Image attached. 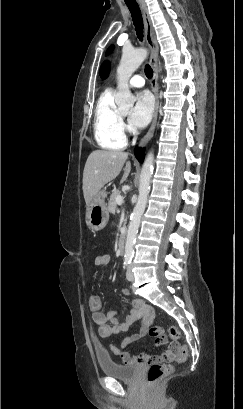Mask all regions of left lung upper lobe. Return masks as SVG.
<instances>
[{"label":"left lung upper lobe","instance_id":"left-lung-upper-lobe-1","mask_svg":"<svg viewBox=\"0 0 243 409\" xmlns=\"http://www.w3.org/2000/svg\"><path fill=\"white\" fill-rule=\"evenodd\" d=\"M113 45L112 46H110L109 48H108V50H107V54H109V53H111L112 52V50H113Z\"/></svg>","mask_w":243,"mask_h":409}]
</instances>
